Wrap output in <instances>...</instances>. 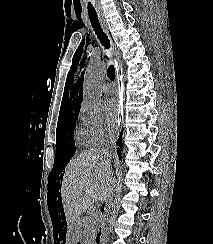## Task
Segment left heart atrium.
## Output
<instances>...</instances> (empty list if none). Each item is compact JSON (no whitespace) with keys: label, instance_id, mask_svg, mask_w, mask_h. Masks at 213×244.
<instances>
[{"label":"left heart atrium","instance_id":"left-heart-atrium-1","mask_svg":"<svg viewBox=\"0 0 213 244\" xmlns=\"http://www.w3.org/2000/svg\"><path fill=\"white\" fill-rule=\"evenodd\" d=\"M104 112L107 124L114 127L120 117V104L116 98H107L104 101Z\"/></svg>","mask_w":213,"mask_h":244}]
</instances>
